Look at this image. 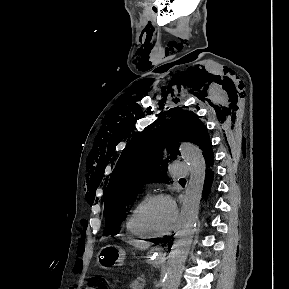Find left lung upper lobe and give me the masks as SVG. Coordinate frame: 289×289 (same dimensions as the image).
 <instances>
[{
	"mask_svg": "<svg viewBox=\"0 0 289 289\" xmlns=\"http://www.w3.org/2000/svg\"><path fill=\"white\" fill-rule=\"evenodd\" d=\"M171 119L158 128H148L135 135L122 152L104 191L103 235H116L134 204L139 189L149 182H167L168 161L179 154V142L198 144L204 158L212 143L203 122L193 112L175 108ZM160 122L153 124L158 125Z\"/></svg>",
	"mask_w": 289,
	"mask_h": 289,
	"instance_id": "5c2ea615",
	"label": "left lung upper lobe"
}]
</instances>
